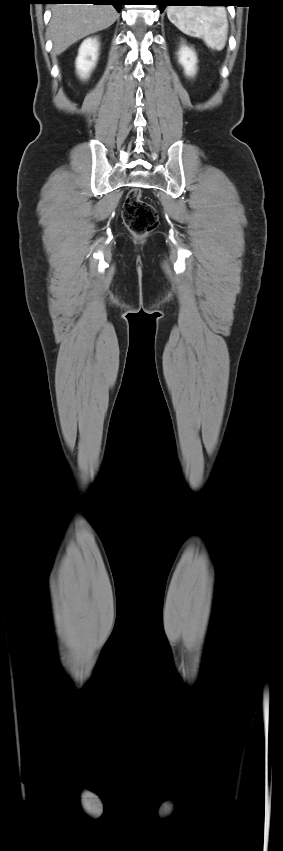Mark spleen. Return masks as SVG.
<instances>
[{"instance_id": "1", "label": "spleen", "mask_w": 283, "mask_h": 851, "mask_svg": "<svg viewBox=\"0 0 283 851\" xmlns=\"http://www.w3.org/2000/svg\"><path fill=\"white\" fill-rule=\"evenodd\" d=\"M167 16L181 32L202 39L212 50L225 47L229 26L224 7L169 6Z\"/></svg>"}]
</instances>
